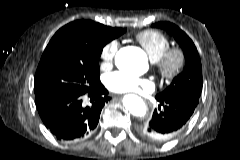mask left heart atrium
Returning a JSON list of instances; mask_svg holds the SVG:
<instances>
[{
  "label": "left heart atrium",
  "mask_w": 240,
  "mask_h": 160,
  "mask_svg": "<svg viewBox=\"0 0 240 160\" xmlns=\"http://www.w3.org/2000/svg\"><path fill=\"white\" fill-rule=\"evenodd\" d=\"M107 86L110 90L117 93L135 92L139 89H152L150 81L146 79H138L120 72L108 76Z\"/></svg>",
  "instance_id": "1"
}]
</instances>
